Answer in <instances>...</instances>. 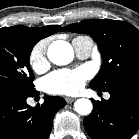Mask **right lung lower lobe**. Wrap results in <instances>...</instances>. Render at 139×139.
<instances>
[{
  "mask_svg": "<svg viewBox=\"0 0 139 139\" xmlns=\"http://www.w3.org/2000/svg\"><path fill=\"white\" fill-rule=\"evenodd\" d=\"M32 94L0 89V139H47L55 113L66 105L62 97L45 96L44 103L31 107Z\"/></svg>",
  "mask_w": 139,
  "mask_h": 139,
  "instance_id": "obj_1",
  "label": "right lung lower lobe"
}]
</instances>
